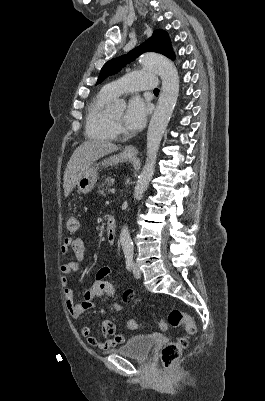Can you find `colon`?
<instances>
[{"instance_id":"colon-1","label":"colon","mask_w":265,"mask_h":401,"mask_svg":"<svg viewBox=\"0 0 265 401\" xmlns=\"http://www.w3.org/2000/svg\"><path fill=\"white\" fill-rule=\"evenodd\" d=\"M79 228L78 219L75 216H69L66 219V229L69 233H75ZM168 326L178 327L183 326L187 334H194L196 332V324L194 320L186 313L174 309L168 314L166 321H161L159 327L165 330ZM128 327L136 329L138 324L136 320L130 319ZM188 341L186 337H180L176 341L166 344L161 350L162 365L167 368L170 367L181 355L182 351L187 347Z\"/></svg>"}]
</instances>
